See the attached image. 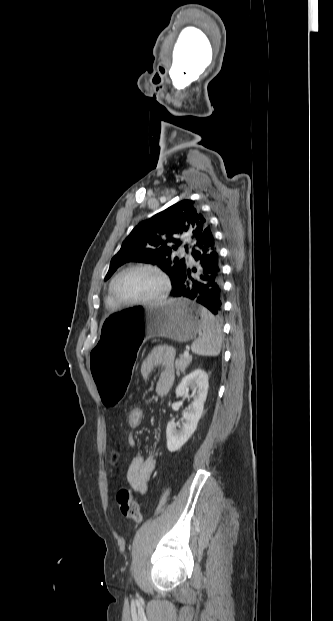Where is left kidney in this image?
<instances>
[{
  "label": "left kidney",
  "mask_w": 333,
  "mask_h": 621,
  "mask_svg": "<svg viewBox=\"0 0 333 621\" xmlns=\"http://www.w3.org/2000/svg\"><path fill=\"white\" fill-rule=\"evenodd\" d=\"M208 374L197 369L185 376L176 388V396L186 399V391L191 389L195 393L193 401L183 412L184 422L175 423L170 421L166 428L167 448L170 452L179 450L191 437L197 428V424L203 414L204 402L208 393ZM178 428V429H177Z\"/></svg>",
  "instance_id": "1"
}]
</instances>
